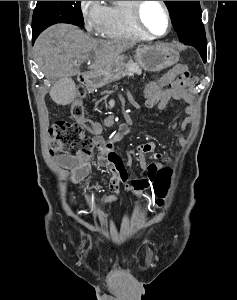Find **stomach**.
I'll return each mask as SVG.
<instances>
[{
	"label": "stomach",
	"instance_id": "stomach-1",
	"mask_svg": "<svg viewBox=\"0 0 237 300\" xmlns=\"http://www.w3.org/2000/svg\"><path fill=\"white\" fill-rule=\"evenodd\" d=\"M134 57L144 71L156 73V71H162V69H167L171 65H176L180 59V53L171 45L157 43V45H151V47H138ZM125 59V55H119L112 65H107L105 69L98 71V87H103L111 81L121 79Z\"/></svg>",
	"mask_w": 237,
	"mask_h": 300
}]
</instances>
